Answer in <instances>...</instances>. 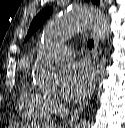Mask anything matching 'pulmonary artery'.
<instances>
[{
    "mask_svg": "<svg viewBox=\"0 0 125 128\" xmlns=\"http://www.w3.org/2000/svg\"><path fill=\"white\" fill-rule=\"evenodd\" d=\"M74 54V49L63 44H55L47 54L53 60H68Z\"/></svg>",
    "mask_w": 125,
    "mask_h": 128,
    "instance_id": "pulmonary-artery-1",
    "label": "pulmonary artery"
}]
</instances>
